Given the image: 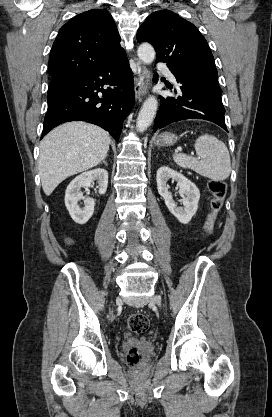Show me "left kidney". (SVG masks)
<instances>
[{"instance_id": "1", "label": "left kidney", "mask_w": 272, "mask_h": 417, "mask_svg": "<svg viewBox=\"0 0 272 417\" xmlns=\"http://www.w3.org/2000/svg\"><path fill=\"white\" fill-rule=\"evenodd\" d=\"M175 180L179 188V193L183 195V207H178L168 191L167 181ZM157 189L160 196L163 197L169 211L178 219L179 222L187 224L195 215L198 209L200 192L197 186L187 179L183 174L167 167L162 166L157 171L156 176Z\"/></svg>"}]
</instances>
